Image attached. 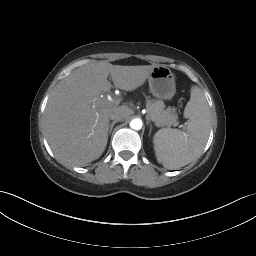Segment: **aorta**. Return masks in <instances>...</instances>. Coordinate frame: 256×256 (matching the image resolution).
<instances>
[{
  "instance_id": "obj_1",
  "label": "aorta",
  "mask_w": 256,
  "mask_h": 256,
  "mask_svg": "<svg viewBox=\"0 0 256 256\" xmlns=\"http://www.w3.org/2000/svg\"><path fill=\"white\" fill-rule=\"evenodd\" d=\"M142 120L139 118L133 119L130 122V127L134 130H140L142 128Z\"/></svg>"
}]
</instances>
